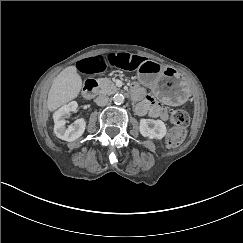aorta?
Masks as SVG:
<instances>
[{
	"instance_id": "762f6f07",
	"label": "aorta",
	"mask_w": 243,
	"mask_h": 243,
	"mask_svg": "<svg viewBox=\"0 0 243 243\" xmlns=\"http://www.w3.org/2000/svg\"><path fill=\"white\" fill-rule=\"evenodd\" d=\"M125 101V97L123 94L121 93H116L114 96H113V102L114 104L116 105H121L123 104Z\"/></svg>"
}]
</instances>
